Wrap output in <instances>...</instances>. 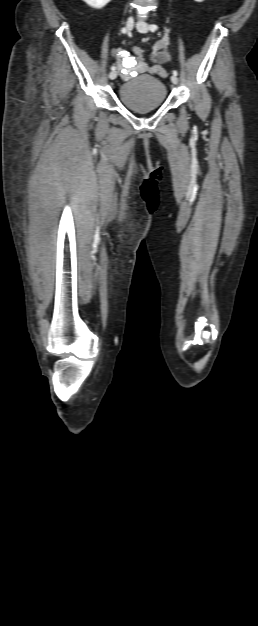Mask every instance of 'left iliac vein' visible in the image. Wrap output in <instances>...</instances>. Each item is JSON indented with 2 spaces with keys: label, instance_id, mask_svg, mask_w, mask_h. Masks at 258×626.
Returning <instances> with one entry per match:
<instances>
[{
  "label": "left iliac vein",
  "instance_id": "4c4485c4",
  "mask_svg": "<svg viewBox=\"0 0 258 626\" xmlns=\"http://www.w3.org/2000/svg\"><path fill=\"white\" fill-rule=\"evenodd\" d=\"M136 28H137V30H138L139 32H141V33H146V32L148 31V25H147V23H146L145 21H143V20H139V21L136 23ZM170 79H171V82H172L173 84H177V83H178V78H177V76L172 75Z\"/></svg>",
  "mask_w": 258,
  "mask_h": 626
}]
</instances>
